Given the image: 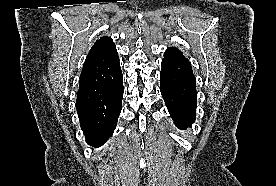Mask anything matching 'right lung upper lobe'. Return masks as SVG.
I'll use <instances>...</instances> for the list:
<instances>
[{
    "label": "right lung upper lobe",
    "mask_w": 276,
    "mask_h": 186,
    "mask_svg": "<svg viewBox=\"0 0 276 186\" xmlns=\"http://www.w3.org/2000/svg\"><path fill=\"white\" fill-rule=\"evenodd\" d=\"M122 74L116 46L111 37L97 40L90 49L80 76L81 87L109 82Z\"/></svg>",
    "instance_id": "cb5924a9"
}]
</instances>
